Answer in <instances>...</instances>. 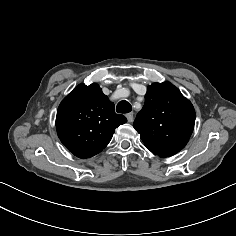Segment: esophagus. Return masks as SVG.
Instances as JSON below:
<instances>
[{"label": "esophagus", "instance_id": "34e87169", "mask_svg": "<svg viewBox=\"0 0 236 236\" xmlns=\"http://www.w3.org/2000/svg\"><path fill=\"white\" fill-rule=\"evenodd\" d=\"M126 118H127L128 122L131 123L134 120V114L132 112L128 113V114H126Z\"/></svg>", "mask_w": 236, "mask_h": 236}]
</instances>
